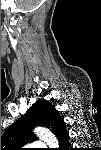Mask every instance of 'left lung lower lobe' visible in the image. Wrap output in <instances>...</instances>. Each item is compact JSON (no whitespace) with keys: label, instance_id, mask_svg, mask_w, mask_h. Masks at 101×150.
Masks as SVG:
<instances>
[{"label":"left lung lower lobe","instance_id":"left-lung-lower-lobe-1","mask_svg":"<svg viewBox=\"0 0 101 150\" xmlns=\"http://www.w3.org/2000/svg\"><path fill=\"white\" fill-rule=\"evenodd\" d=\"M58 140H59L60 145H62V146L68 147V146L70 145V144H69V134H68L67 131H65V132L63 133V135H61V136L58 138Z\"/></svg>","mask_w":101,"mask_h":150}]
</instances>
